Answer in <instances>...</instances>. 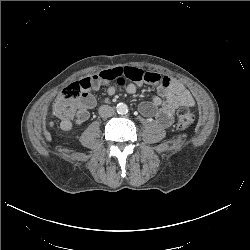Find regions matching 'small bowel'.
<instances>
[{
    "label": "small bowel",
    "instance_id": "c3829d8e",
    "mask_svg": "<svg viewBox=\"0 0 250 250\" xmlns=\"http://www.w3.org/2000/svg\"><path fill=\"white\" fill-rule=\"evenodd\" d=\"M76 83L82 90L77 100L74 118L76 125L85 123L89 118V111L96 105V99L90 91H97L106 85H108L107 91L110 95L119 90L135 93L144 83L156 86L157 95L150 102L141 103L139 110L144 116L154 118L162 127L172 124L177 108L180 106L189 108L195 104L190 92L175 79L136 67L107 69ZM60 127L63 131H70L73 122L70 119L63 120Z\"/></svg>",
    "mask_w": 250,
    "mask_h": 250
}]
</instances>
